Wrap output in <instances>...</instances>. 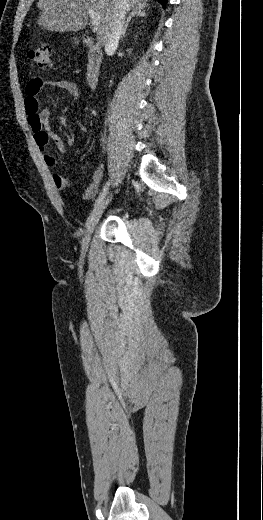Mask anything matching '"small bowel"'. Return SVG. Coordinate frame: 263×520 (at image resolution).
Here are the masks:
<instances>
[{
  "label": "small bowel",
  "mask_w": 263,
  "mask_h": 520,
  "mask_svg": "<svg viewBox=\"0 0 263 520\" xmlns=\"http://www.w3.org/2000/svg\"><path fill=\"white\" fill-rule=\"evenodd\" d=\"M44 87H53L66 91L73 100H77L81 92L76 83L69 80H46L40 77L30 79L25 87V111L28 116L29 124L33 132L36 145L41 152L47 166L53 170L52 181L56 188L66 189L70 186V179L61 175L55 168L57 163L48 152L49 142L52 141L56 148L61 152L67 151L66 142L54 133L49 127L50 109L40 108L38 95ZM83 133L85 128L81 127ZM104 169L98 166L92 174L91 181L83 193V199H93L98 191L103 178Z\"/></svg>",
  "instance_id": "small-bowel-1"
}]
</instances>
